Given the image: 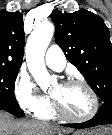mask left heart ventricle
<instances>
[{
    "instance_id": "1",
    "label": "left heart ventricle",
    "mask_w": 112,
    "mask_h": 135,
    "mask_svg": "<svg viewBox=\"0 0 112 135\" xmlns=\"http://www.w3.org/2000/svg\"><path fill=\"white\" fill-rule=\"evenodd\" d=\"M50 95L67 113L84 116L90 111V96L83 86L57 83L52 87Z\"/></svg>"
}]
</instances>
